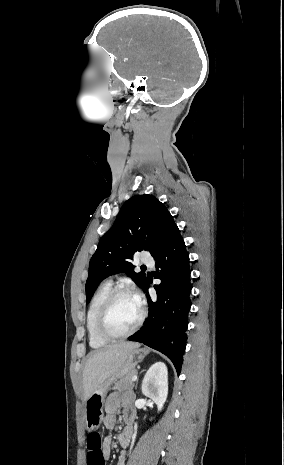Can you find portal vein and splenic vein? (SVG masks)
<instances>
[{
    "mask_svg": "<svg viewBox=\"0 0 284 465\" xmlns=\"http://www.w3.org/2000/svg\"><path fill=\"white\" fill-rule=\"evenodd\" d=\"M137 379V375H134V377H132V381H136Z\"/></svg>",
    "mask_w": 284,
    "mask_h": 465,
    "instance_id": "1",
    "label": "portal vein and splenic vein"
}]
</instances>
